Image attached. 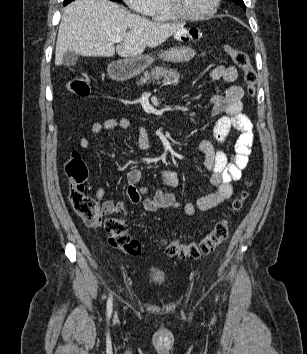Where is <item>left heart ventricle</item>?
<instances>
[{"label":"left heart ventricle","instance_id":"left-heart-ventricle-1","mask_svg":"<svg viewBox=\"0 0 307 354\" xmlns=\"http://www.w3.org/2000/svg\"><path fill=\"white\" fill-rule=\"evenodd\" d=\"M214 0H180L184 12L188 14H201L206 12Z\"/></svg>","mask_w":307,"mask_h":354}]
</instances>
